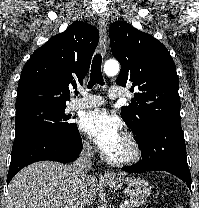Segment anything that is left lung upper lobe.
<instances>
[{
  "instance_id": "left-lung-upper-lobe-1",
  "label": "left lung upper lobe",
  "mask_w": 199,
  "mask_h": 208,
  "mask_svg": "<svg viewBox=\"0 0 199 208\" xmlns=\"http://www.w3.org/2000/svg\"><path fill=\"white\" fill-rule=\"evenodd\" d=\"M111 51L121 63L117 84H132V104L121 108V116L142 141L149 128L159 122L181 120L179 79L167 48L151 35L122 21L109 28Z\"/></svg>"
}]
</instances>
